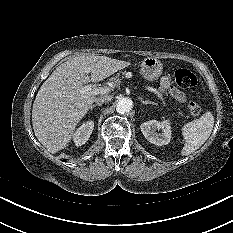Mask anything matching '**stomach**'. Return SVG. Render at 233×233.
<instances>
[{
  "instance_id": "1",
  "label": "stomach",
  "mask_w": 233,
  "mask_h": 233,
  "mask_svg": "<svg viewBox=\"0 0 233 233\" xmlns=\"http://www.w3.org/2000/svg\"><path fill=\"white\" fill-rule=\"evenodd\" d=\"M163 70L161 61L155 57H147L141 62V75L148 81L157 80Z\"/></svg>"
}]
</instances>
